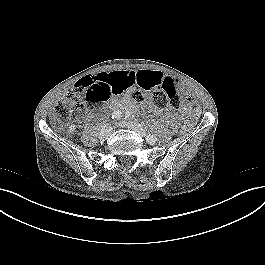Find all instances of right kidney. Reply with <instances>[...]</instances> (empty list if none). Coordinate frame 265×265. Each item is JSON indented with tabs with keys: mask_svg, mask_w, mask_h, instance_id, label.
<instances>
[{
	"mask_svg": "<svg viewBox=\"0 0 265 265\" xmlns=\"http://www.w3.org/2000/svg\"><path fill=\"white\" fill-rule=\"evenodd\" d=\"M76 131V126L75 125H71L68 129V133L73 134Z\"/></svg>",
	"mask_w": 265,
	"mask_h": 265,
	"instance_id": "ca27d5eb",
	"label": "right kidney"
}]
</instances>
